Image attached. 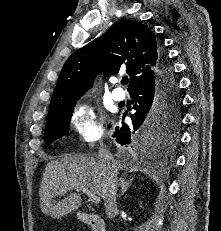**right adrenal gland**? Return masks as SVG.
Wrapping results in <instances>:
<instances>
[{"instance_id": "obj_1", "label": "right adrenal gland", "mask_w": 221, "mask_h": 231, "mask_svg": "<svg viewBox=\"0 0 221 231\" xmlns=\"http://www.w3.org/2000/svg\"><path fill=\"white\" fill-rule=\"evenodd\" d=\"M133 178L130 180H125L124 178H120V187H121V192L119 194V197L123 196L125 192L128 190L130 183L132 182Z\"/></svg>"}]
</instances>
